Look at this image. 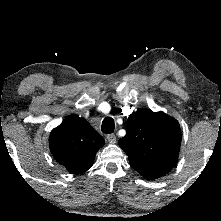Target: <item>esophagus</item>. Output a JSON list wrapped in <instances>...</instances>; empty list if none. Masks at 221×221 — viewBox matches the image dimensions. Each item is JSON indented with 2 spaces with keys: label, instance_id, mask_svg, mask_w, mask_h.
Here are the masks:
<instances>
[{
  "label": "esophagus",
  "instance_id": "34e87169",
  "mask_svg": "<svg viewBox=\"0 0 221 221\" xmlns=\"http://www.w3.org/2000/svg\"><path fill=\"white\" fill-rule=\"evenodd\" d=\"M107 140L111 144L116 143V141H117L116 135L115 134H108L107 135Z\"/></svg>",
  "mask_w": 221,
  "mask_h": 221
}]
</instances>
